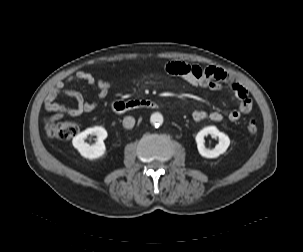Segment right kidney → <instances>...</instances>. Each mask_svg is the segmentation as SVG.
Listing matches in <instances>:
<instances>
[{"label":"right kidney","mask_w":303,"mask_h":252,"mask_svg":"<svg viewBox=\"0 0 303 252\" xmlns=\"http://www.w3.org/2000/svg\"><path fill=\"white\" fill-rule=\"evenodd\" d=\"M88 135L97 136V142L94 145H90L84 141ZM107 135L108 134L105 128L101 126H95L88 128L80 134L76 135L73 138L72 143L73 146L81 154V156L92 160L99 158L105 154L106 146L104 144V140L107 138Z\"/></svg>","instance_id":"obj_1"}]
</instances>
